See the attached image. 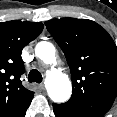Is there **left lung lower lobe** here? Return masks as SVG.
Returning a JSON list of instances; mask_svg holds the SVG:
<instances>
[{
  "label": "left lung lower lobe",
  "instance_id": "obj_1",
  "mask_svg": "<svg viewBox=\"0 0 117 117\" xmlns=\"http://www.w3.org/2000/svg\"><path fill=\"white\" fill-rule=\"evenodd\" d=\"M53 110L56 117H99L96 115L86 114L80 111L65 107L62 104H53Z\"/></svg>",
  "mask_w": 117,
  "mask_h": 117
}]
</instances>
